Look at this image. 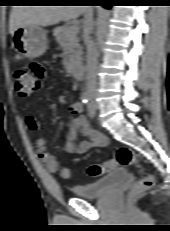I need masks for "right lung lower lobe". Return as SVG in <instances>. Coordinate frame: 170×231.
Returning <instances> with one entry per match:
<instances>
[{
    "label": "right lung lower lobe",
    "instance_id": "1",
    "mask_svg": "<svg viewBox=\"0 0 170 231\" xmlns=\"http://www.w3.org/2000/svg\"><path fill=\"white\" fill-rule=\"evenodd\" d=\"M102 4H103L102 6H104V7H106V8H110L109 5H107V4H105V3H102Z\"/></svg>",
    "mask_w": 170,
    "mask_h": 231
}]
</instances>
